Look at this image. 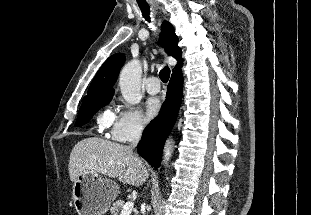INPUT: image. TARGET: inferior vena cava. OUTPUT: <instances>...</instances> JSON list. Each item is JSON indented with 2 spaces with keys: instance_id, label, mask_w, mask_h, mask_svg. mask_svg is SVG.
<instances>
[{
  "instance_id": "inferior-vena-cava-1",
  "label": "inferior vena cava",
  "mask_w": 311,
  "mask_h": 215,
  "mask_svg": "<svg viewBox=\"0 0 311 215\" xmlns=\"http://www.w3.org/2000/svg\"><path fill=\"white\" fill-rule=\"evenodd\" d=\"M141 134H142V127L140 126H136L132 130L131 137H130V146H129L131 149H134L137 146L141 138Z\"/></svg>"
}]
</instances>
